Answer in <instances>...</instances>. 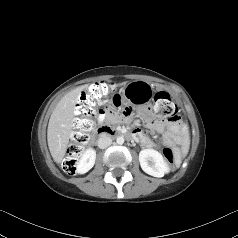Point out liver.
<instances>
[{
    "label": "liver",
    "mask_w": 238,
    "mask_h": 238,
    "mask_svg": "<svg viewBox=\"0 0 238 238\" xmlns=\"http://www.w3.org/2000/svg\"><path fill=\"white\" fill-rule=\"evenodd\" d=\"M125 82L117 84L124 85ZM86 86H80L67 93L53 110L47 129L48 147L56 163H60L65 156L70 135L74 126L75 105Z\"/></svg>",
    "instance_id": "1"
}]
</instances>
